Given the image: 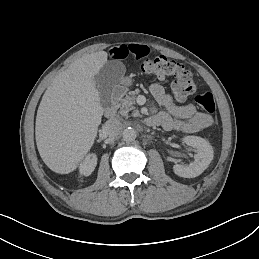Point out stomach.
<instances>
[{
  "label": "stomach",
  "instance_id": "1",
  "mask_svg": "<svg viewBox=\"0 0 259 259\" xmlns=\"http://www.w3.org/2000/svg\"><path fill=\"white\" fill-rule=\"evenodd\" d=\"M122 84L125 86H129L131 84V79L130 78H124L122 80Z\"/></svg>",
  "mask_w": 259,
  "mask_h": 259
}]
</instances>
